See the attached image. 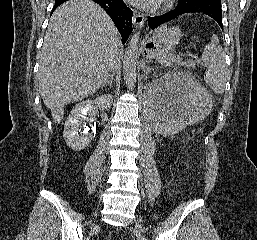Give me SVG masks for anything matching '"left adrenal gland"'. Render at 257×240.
<instances>
[{
	"mask_svg": "<svg viewBox=\"0 0 257 240\" xmlns=\"http://www.w3.org/2000/svg\"><path fill=\"white\" fill-rule=\"evenodd\" d=\"M151 71V68H148L147 66H144V72L145 76L147 77L148 73Z\"/></svg>",
	"mask_w": 257,
	"mask_h": 240,
	"instance_id": "a2214340",
	"label": "left adrenal gland"
}]
</instances>
